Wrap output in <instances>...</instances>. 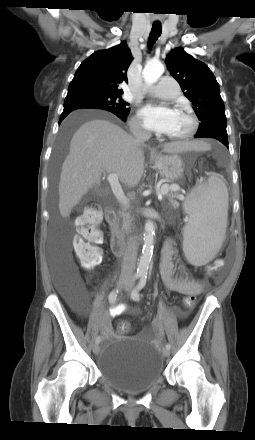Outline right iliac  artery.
<instances>
[{"mask_svg":"<svg viewBox=\"0 0 255 440\" xmlns=\"http://www.w3.org/2000/svg\"><path fill=\"white\" fill-rule=\"evenodd\" d=\"M140 276H141L140 274H135L133 277V280L138 279ZM116 298H117V291H115V290L111 291L109 294V297H108L110 304L114 305L116 302ZM100 341H101L100 336L96 337V340H95L96 344H99Z\"/></svg>","mask_w":255,"mask_h":440,"instance_id":"82829eb1","label":"right iliac artery"}]
</instances>
